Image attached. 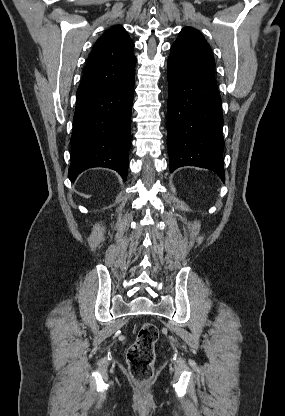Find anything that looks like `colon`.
I'll return each instance as SVG.
<instances>
[{
  "label": "colon",
  "mask_w": 285,
  "mask_h": 416,
  "mask_svg": "<svg viewBox=\"0 0 285 416\" xmlns=\"http://www.w3.org/2000/svg\"><path fill=\"white\" fill-rule=\"evenodd\" d=\"M158 329L153 323H143L136 339L127 352V363L133 381L138 385H147L154 376L155 344Z\"/></svg>",
  "instance_id": "colon-1"
}]
</instances>
